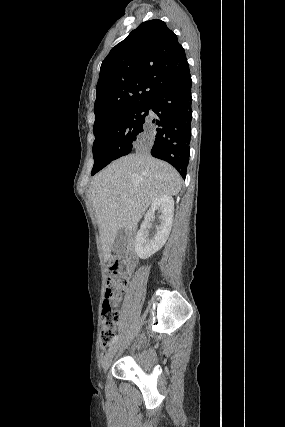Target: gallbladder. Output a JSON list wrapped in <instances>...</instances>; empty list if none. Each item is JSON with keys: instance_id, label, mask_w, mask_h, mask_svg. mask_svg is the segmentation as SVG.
Wrapping results in <instances>:
<instances>
[{"instance_id": "1", "label": "gallbladder", "mask_w": 285, "mask_h": 427, "mask_svg": "<svg viewBox=\"0 0 285 427\" xmlns=\"http://www.w3.org/2000/svg\"><path fill=\"white\" fill-rule=\"evenodd\" d=\"M126 246V234L124 229H119L112 245V250L121 253Z\"/></svg>"}]
</instances>
